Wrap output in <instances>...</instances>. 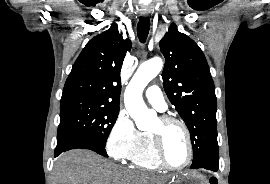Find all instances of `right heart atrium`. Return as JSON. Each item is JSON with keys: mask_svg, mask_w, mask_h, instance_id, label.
<instances>
[{"mask_svg": "<svg viewBox=\"0 0 270 184\" xmlns=\"http://www.w3.org/2000/svg\"><path fill=\"white\" fill-rule=\"evenodd\" d=\"M142 133L132 119L120 112L112 124L106 139V150L117 161H127L138 148Z\"/></svg>", "mask_w": 270, "mask_h": 184, "instance_id": "obj_1", "label": "right heart atrium"}]
</instances>
